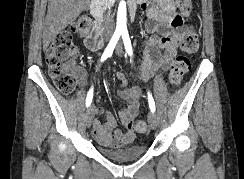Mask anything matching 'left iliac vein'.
I'll return each mask as SVG.
<instances>
[{
  "mask_svg": "<svg viewBox=\"0 0 244 179\" xmlns=\"http://www.w3.org/2000/svg\"><path fill=\"white\" fill-rule=\"evenodd\" d=\"M116 52L120 54L122 52V46L121 43H118L116 47ZM148 123L150 127L155 130L158 127V118L157 115L154 112H149L148 117H147Z\"/></svg>",
  "mask_w": 244,
  "mask_h": 179,
  "instance_id": "4c4485c4",
  "label": "left iliac vein"
}]
</instances>
